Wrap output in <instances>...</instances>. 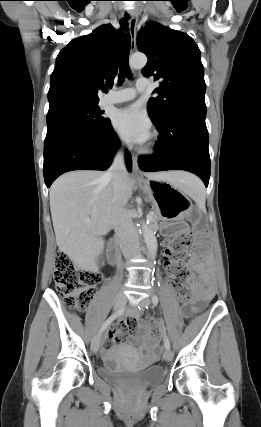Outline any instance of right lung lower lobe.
I'll return each instance as SVG.
<instances>
[{
  "label": "right lung lower lobe",
  "instance_id": "obj_1",
  "mask_svg": "<svg viewBox=\"0 0 261 427\" xmlns=\"http://www.w3.org/2000/svg\"><path fill=\"white\" fill-rule=\"evenodd\" d=\"M118 146L111 123L99 129L69 123L48 127L43 167L46 186L50 187L58 176L68 171L107 169ZM126 164L131 171L132 158L128 152Z\"/></svg>",
  "mask_w": 261,
  "mask_h": 427
}]
</instances>
